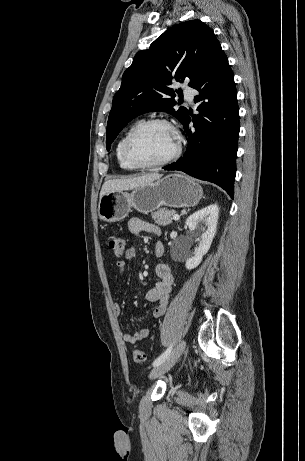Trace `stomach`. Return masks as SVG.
<instances>
[{
    "instance_id": "0dacf381",
    "label": "stomach",
    "mask_w": 305,
    "mask_h": 461,
    "mask_svg": "<svg viewBox=\"0 0 305 461\" xmlns=\"http://www.w3.org/2000/svg\"><path fill=\"white\" fill-rule=\"evenodd\" d=\"M202 197V187L194 179L174 173L130 191H113L103 195L98 204V214L104 221L117 222L126 218L132 208L148 213L160 206L191 207L197 205Z\"/></svg>"
}]
</instances>
